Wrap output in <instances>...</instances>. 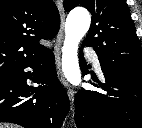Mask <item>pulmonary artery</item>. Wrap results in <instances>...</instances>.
Listing matches in <instances>:
<instances>
[{
  "label": "pulmonary artery",
  "mask_w": 142,
  "mask_h": 128,
  "mask_svg": "<svg viewBox=\"0 0 142 128\" xmlns=\"http://www.w3.org/2000/svg\"><path fill=\"white\" fill-rule=\"evenodd\" d=\"M85 54L87 56H89V58L93 62L94 67L96 68V70L101 73L100 62L98 60V57H97L95 51L92 50L91 48H85Z\"/></svg>",
  "instance_id": "obj_1"
}]
</instances>
